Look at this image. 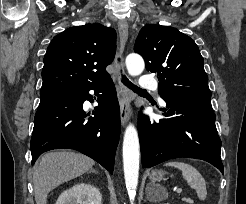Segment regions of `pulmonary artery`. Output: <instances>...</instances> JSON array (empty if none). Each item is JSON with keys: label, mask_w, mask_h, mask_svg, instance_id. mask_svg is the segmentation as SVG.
Listing matches in <instances>:
<instances>
[{"label": "pulmonary artery", "mask_w": 246, "mask_h": 204, "mask_svg": "<svg viewBox=\"0 0 246 204\" xmlns=\"http://www.w3.org/2000/svg\"><path fill=\"white\" fill-rule=\"evenodd\" d=\"M140 87L145 90H157V82L150 75H143L140 79Z\"/></svg>", "instance_id": "1"}]
</instances>
